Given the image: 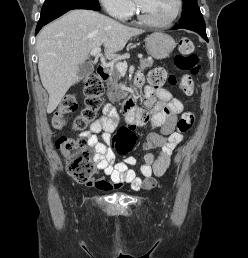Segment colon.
Here are the masks:
<instances>
[{
  "instance_id": "colon-1",
  "label": "colon",
  "mask_w": 248,
  "mask_h": 258,
  "mask_svg": "<svg viewBox=\"0 0 248 258\" xmlns=\"http://www.w3.org/2000/svg\"><path fill=\"white\" fill-rule=\"evenodd\" d=\"M179 54L175 57V65L178 69L189 72L178 82L181 92L186 96L194 93L195 76L200 71L197 55L194 51V42L183 37L179 40ZM148 82L152 86H162L168 79L167 72L162 68L152 69L148 73ZM103 92L102 79L95 74L86 77L83 93L85 95V107L75 118L73 127L77 131H83L91 122L101 106ZM77 106V98L74 94L65 96L52 117L54 128L61 129L65 125V115L74 111ZM195 121V114L191 111L184 112L177 123V129L185 133L191 129ZM134 134L126 127H120L114 136V146L118 153L126 155L133 146ZM86 138L77 140L66 136H58L55 139L56 147L66 159V167L69 175L80 183H88L93 180L94 167L91 162L92 151L86 146Z\"/></svg>"
}]
</instances>
